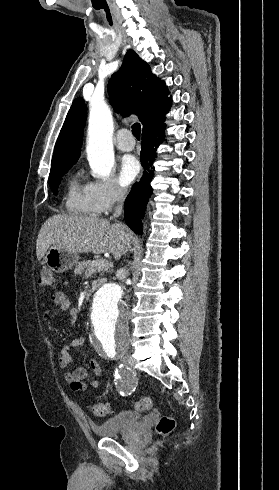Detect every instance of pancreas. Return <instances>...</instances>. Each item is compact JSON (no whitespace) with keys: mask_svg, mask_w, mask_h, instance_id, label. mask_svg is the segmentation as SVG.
I'll return each instance as SVG.
<instances>
[{"mask_svg":"<svg viewBox=\"0 0 279 490\" xmlns=\"http://www.w3.org/2000/svg\"><path fill=\"white\" fill-rule=\"evenodd\" d=\"M110 270V264L105 262L104 264H100V266H92V262L90 260H83V262H78L76 268H74V274H84L86 278H90L92 274H103V272H108Z\"/></svg>","mask_w":279,"mask_h":490,"instance_id":"cf45deb5","label":"pancreas"}]
</instances>
